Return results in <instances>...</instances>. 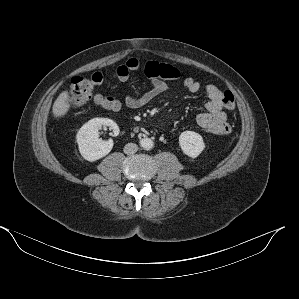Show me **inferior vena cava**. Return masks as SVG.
Returning <instances> with one entry per match:
<instances>
[{
    "instance_id": "1",
    "label": "inferior vena cava",
    "mask_w": 299,
    "mask_h": 299,
    "mask_svg": "<svg viewBox=\"0 0 299 299\" xmlns=\"http://www.w3.org/2000/svg\"><path fill=\"white\" fill-rule=\"evenodd\" d=\"M137 150H138V146L135 143H127L124 146V153L128 155L136 153Z\"/></svg>"
}]
</instances>
